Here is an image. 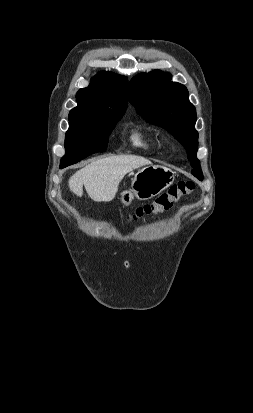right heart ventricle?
<instances>
[{
  "label": "right heart ventricle",
  "mask_w": 253,
  "mask_h": 413,
  "mask_svg": "<svg viewBox=\"0 0 253 413\" xmlns=\"http://www.w3.org/2000/svg\"><path fill=\"white\" fill-rule=\"evenodd\" d=\"M129 140L134 148L144 151H152L158 145L155 135L142 128L135 129L130 134Z\"/></svg>",
  "instance_id": "e07e8e85"
}]
</instances>
